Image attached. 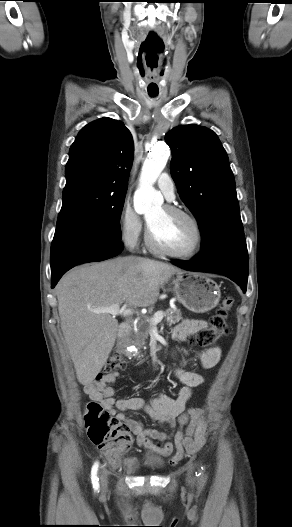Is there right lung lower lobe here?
<instances>
[{
  "label": "right lung lower lobe",
  "instance_id": "1",
  "mask_svg": "<svg viewBox=\"0 0 292 527\" xmlns=\"http://www.w3.org/2000/svg\"><path fill=\"white\" fill-rule=\"evenodd\" d=\"M124 248L121 239L79 226H57L51 245L52 288L76 265L117 256Z\"/></svg>",
  "mask_w": 292,
  "mask_h": 527
}]
</instances>
